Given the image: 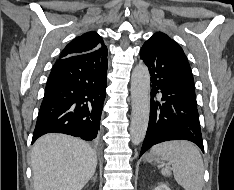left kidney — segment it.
I'll list each match as a JSON object with an SVG mask.
<instances>
[{
    "instance_id": "left-kidney-1",
    "label": "left kidney",
    "mask_w": 234,
    "mask_h": 190,
    "mask_svg": "<svg viewBox=\"0 0 234 190\" xmlns=\"http://www.w3.org/2000/svg\"><path fill=\"white\" fill-rule=\"evenodd\" d=\"M154 190H171L165 183H160Z\"/></svg>"
}]
</instances>
